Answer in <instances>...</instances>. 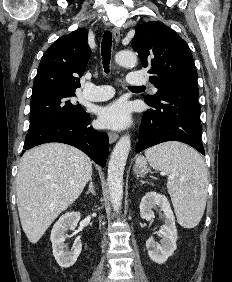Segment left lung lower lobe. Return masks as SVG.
<instances>
[{"label": "left lung lower lobe", "mask_w": 232, "mask_h": 282, "mask_svg": "<svg viewBox=\"0 0 232 282\" xmlns=\"http://www.w3.org/2000/svg\"><path fill=\"white\" fill-rule=\"evenodd\" d=\"M146 103L151 109L143 115L136 153L162 142L180 141L205 155L198 91L169 89L159 102Z\"/></svg>", "instance_id": "0a47b994"}]
</instances>
